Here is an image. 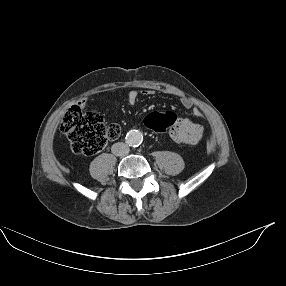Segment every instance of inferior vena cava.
Instances as JSON below:
<instances>
[{
    "label": "inferior vena cava",
    "mask_w": 286,
    "mask_h": 286,
    "mask_svg": "<svg viewBox=\"0 0 286 286\" xmlns=\"http://www.w3.org/2000/svg\"><path fill=\"white\" fill-rule=\"evenodd\" d=\"M111 151L116 156H124L129 153V147L123 142H118L112 145Z\"/></svg>",
    "instance_id": "1"
}]
</instances>
